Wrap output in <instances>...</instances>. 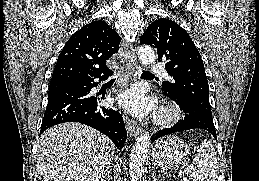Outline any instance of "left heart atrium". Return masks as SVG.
I'll return each instance as SVG.
<instances>
[{"instance_id":"39dd6f15","label":"left heart atrium","mask_w":259,"mask_h":181,"mask_svg":"<svg viewBox=\"0 0 259 181\" xmlns=\"http://www.w3.org/2000/svg\"><path fill=\"white\" fill-rule=\"evenodd\" d=\"M119 105L134 115L144 116L155 110L153 101L148 98L143 89L131 87L117 97Z\"/></svg>"}]
</instances>
